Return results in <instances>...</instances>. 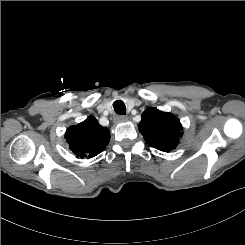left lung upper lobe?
Instances as JSON below:
<instances>
[{
  "instance_id": "1",
  "label": "left lung upper lobe",
  "mask_w": 245,
  "mask_h": 245,
  "mask_svg": "<svg viewBox=\"0 0 245 245\" xmlns=\"http://www.w3.org/2000/svg\"><path fill=\"white\" fill-rule=\"evenodd\" d=\"M139 131L149 146L164 152L176 148L182 137V125L176 116L155 108L142 113Z\"/></svg>"
}]
</instances>
